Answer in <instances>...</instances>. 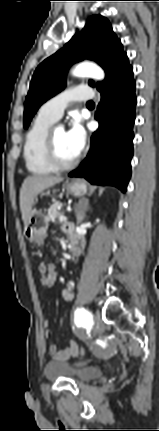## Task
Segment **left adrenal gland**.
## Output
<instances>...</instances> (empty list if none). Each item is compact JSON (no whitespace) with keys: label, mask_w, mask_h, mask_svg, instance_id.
<instances>
[{"label":"left adrenal gland","mask_w":159,"mask_h":431,"mask_svg":"<svg viewBox=\"0 0 159 431\" xmlns=\"http://www.w3.org/2000/svg\"><path fill=\"white\" fill-rule=\"evenodd\" d=\"M88 209H90L88 201L83 202L80 200L76 210L77 224H80L84 220L86 217L85 213Z\"/></svg>","instance_id":"left-adrenal-gland-1"}]
</instances>
